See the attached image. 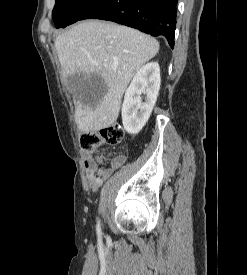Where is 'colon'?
<instances>
[{"label":"colon","instance_id":"5ec220e1","mask_svg":"<svg viewBox=\"0 0 247 275\" xmlns=\"http://www.w3.org/2000/svg\"><path fill=\"white\" fill-rule=\"evenodd\" d=\"M124 139L119 125H111L98 131H86L80 135V146L85 151H94L102 144L117 145Z\"/></svg>","mask_w":247,"mask_h":275}]
</instances>
